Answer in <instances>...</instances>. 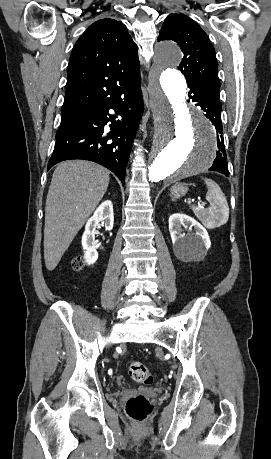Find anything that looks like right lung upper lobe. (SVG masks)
<instances>
[{
    "instance_id": "cb5924a9",
    "label": "right lung upper lobe",
    "mask_w": 271,
    "mask_h": 459,
    "mask_svg": "<svg viewBox=\"0 0 271 459\" xmlns=\"http://www.w3.org/2000/svg\"><path fill=\"white\" fill-rule=\"evenodd\" d=\"M140 78L138 47L126 26L105 18L94 22L76 42L69 60L62 114Z\"/></svg>"
}]
</instances>
